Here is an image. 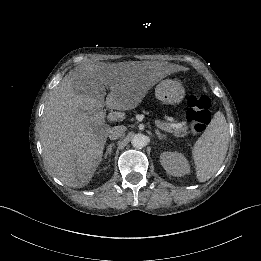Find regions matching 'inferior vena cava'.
<instances>
[{
    "label": "inferior vena cava",
    "mask_w": 261,
    "mask_h": 261,
    "mask_svg": "<svg viewBox=\"0 0 261 261\" xmlns=\"http://www.w3.org/2000/svg\"><path fill=\"white\" fill-rule=\"evenodd\" d=\"M126 130H127V128L123 125L112 127L109 130L108 137L111 140H116V139L120 138L121 136H123Z\"/></svg>",
    "instance_id": "602c4592"
}]
</instances>
